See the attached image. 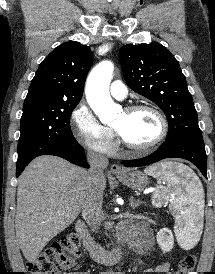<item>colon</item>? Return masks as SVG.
Returning a JSON list of instances; mask_svg holds the SVG:
<instances>
[{"label":"colon","instance_id":"colon-1","mask_svg":"<svg viewBox=\"0 0 215 274\" xmlns=\"http://www.w3.org/2000/svg\"><path fill=\"white\" fill-rule=\"evenodd\" d=\"M79 238L76 234H70L54 243L34 262L28 264L31 274H60L73 264V258L78 252ZM196 265V257L193 254L184 255L179 261L176 274H192Z\"/></svg>","mask_w":215,"mask_h":274}]
</instances>
